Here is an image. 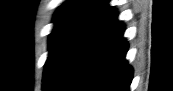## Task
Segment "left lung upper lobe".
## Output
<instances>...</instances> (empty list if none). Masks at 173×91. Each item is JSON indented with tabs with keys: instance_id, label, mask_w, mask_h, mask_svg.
I'll list each match as a JSON object with an SVG mask.
<instances>
[{
	"instance_id": "5c2ea615",
	"label": "left lung upper lobe",
	"mask_w": 173,
	"mask_h": 91,
	"mask_svg": "<svg viewBox=\"0 0 173 91\" xmlns=\"http://www.w3.org/2000/svg\"><path fill=\"white\" fill-rule=\"evenodd\" d=\"M109 0H68L55 14L49 38V56L43 74V91H51L70 56L95 25L112 8Z\"/></svg>"
}]
</instances>
